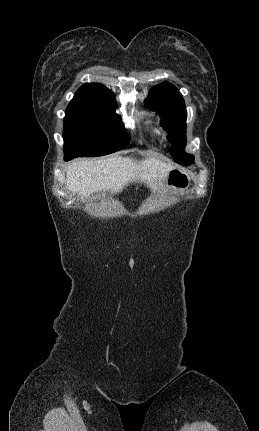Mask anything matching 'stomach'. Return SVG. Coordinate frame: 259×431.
Instances as JSON below:
<instances>
[{
    "label": "stomach",
    "mask_w": 259,
    "mask_h": 431,
    "mask_svg": "<svg viewBox=\"0 0 259 431\" xmlns=\"http://www.w3.org/2000/svg\"><path fill=\"white\" fill-rule=\"evenodd\" d=\"M190 185L189 175L180 169H172L165 180L164 189L170 191H184Z\"/></svg>",
    "instance_id": "stomach-1"
}]
</instances>
